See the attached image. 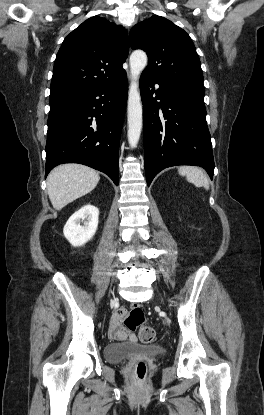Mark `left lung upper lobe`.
Masks as SVG:
<instances>
[{
  "mask_svg": "<svg viewBox=\"0 0 264 415\" xmlns=\"http://www.w3.org/2000/svg\"><path fill=\"white\" fill-rule=\"evenodd\" d=\"M132 49L148 56L144 74L159 81L204 88L200 59L190 36L170 20L152 16L130 31Z\"/></svg>",
  "mask_w": 264,
  "mask_h": 415,
  "instance_id": "left-lung-upper-lobe-1",
  "label": "left lung upper lobe"
}]
</instances>
